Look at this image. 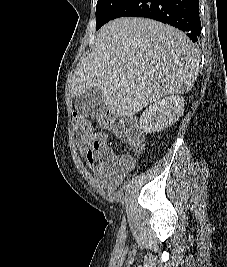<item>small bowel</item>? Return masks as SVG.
<instances>
[{
	"label": "small bowel",
	"mask_w": 227,
	"mask_h": 267,
	"mask_svg": "<svg viewBox=\"0 0 227 267\" xmlns=\"http://www.w3.org/2000/svg\"><path fill=\"white\" fill-rule=\"evenodd\" d=\"M115 133L118 134V129L115 130ZM80 136L77 145L81 154L84 156L86 162L93 169L95 174L98 177H101L103 174L105 158L109 154L106 148V135L98 134L96 136ZM96 138L98 142H96ZM130 167L131 163L129 160H122L119 163L117 172L123 175L129 171Z\"/></svg>",
	"instance_id": "1"
}]
</instances>
